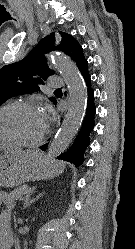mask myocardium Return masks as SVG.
<instances>
[{"mask_svg":"<svg viewBox=\"0 0 135 249\" xmlns=\"http://www.w3.org/2000/svg\"><path fill=\"white\" fill-rule=\"evenodd\" d=\"M15 106L41 111V107L35 102L16 100V101H11V102L6 103L5 105L1 106L0 113H2L7 108L15 107ZM47 129H48L47 124L45 123L44 129H43L42 133L40 134V136L32 141H24V140H19V139L0 137V144L18 145V146H22V147H35V146H38L43 141V139L47 133Z\"/></svg>","mask_w":135,"mask_h":249,"instance_id":"1","label":"myocardium"}]
</instances>
